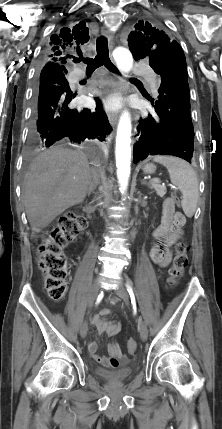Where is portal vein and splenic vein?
<instances>
[{
    "label": "portal vein and splenic vein",
    "mask_w": 222,
    "mask_h": 429,
    "mask_svg": "<svg viewBox=\"0 0 222 429\" xmlns=\"http://www.w3.org/2000/svg\"><path fill=\"white\" fill-rule=\"evenodd\" d=\"M151 182L160 183V180L158 178H155V179H152Z\"/></svg>",
    "instance_id": "18ae733b"
}]
</instances>
